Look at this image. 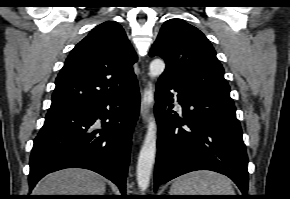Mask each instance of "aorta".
<instances>
[{
  "label": "aorta",
  "instance_id": "762f6f07",
  "mask_svg": "<svg viewBox=\"0 0 290 199\" xmlns=\"http://www.w3.org/2000/svg\"><path fill=\"white\" fill-rule=\"evenodd\" d=\"M165 69L162 59H154L149 66V75L152 78L160 76ZM157 141V125L154 116H150L147 132L141 147L137 163V183L141 191L147 190L150 184L153 165L155 162Z\"/></svg>",
  "mask_w": 290,
  "mask_h": 199
}]
</instances>
